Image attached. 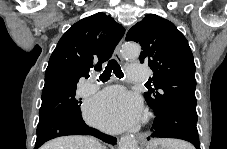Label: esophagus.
<instances>
[{
	"instance_id": "34e87169",
	"label": "esophagus",
	"mask_w": 227,
	"mask_h": 149,
	"mask_svg": "<svg viewBox=\"0 0 227 149\" xmlns=\"http://www.w3.org/2000/svg\"><path fill=\"white\" fill-rule=\"evenodd\" d=\"M121 44H122V42H120V43L116 46L115 51H114V58H115L118 62H122V57H121ZM137 142H140V144H143V142H146V136H145V134H143V133L138 134Z\"/></svg>"
}]
</instances>
